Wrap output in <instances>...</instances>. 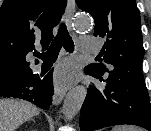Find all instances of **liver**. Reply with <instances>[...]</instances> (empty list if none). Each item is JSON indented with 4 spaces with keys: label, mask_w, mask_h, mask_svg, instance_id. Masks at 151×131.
<instances>
[{
    "label": "liver",
    "mask_w": 151,
    "mask_h": 131,
    "mask_svg": "<svg viewBox=\"0 0 151 131\" xmlns=\"http://www.w3.org/2000/svg\"><path fill=\"white\" fill-rule=\"evenodd\" d=\"M39 114L33 104L14 99H0V131H15L25 121Z\"/></svg>",
    "instance_id": "liver-1"
}]
</instances>
